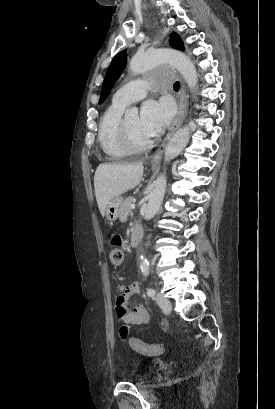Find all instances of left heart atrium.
<instances>
[{
  "label": "left heart atrium",
  "instance_id": "1",
  "mask_svg": "<svg viewBox=\"0 0 275 409\" xmlns=\"http://www.w3.org/2000/svg\"><path fill=\"white\" fill-rule=\"evenodd\" d=\"M172 109L165 103L146 101L140 113V127L150 138L159 136L170 123Z\"/></svg>",
  "mask_w": 275,
  "mask_h": 409
}]
</instances>
